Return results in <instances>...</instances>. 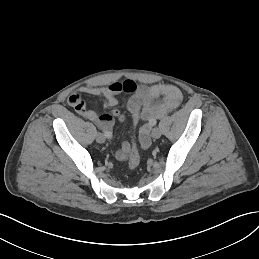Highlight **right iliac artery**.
<instances>
[{"instance_id": "obj_1", "label": "right iliac artery", "mask_w": 259, "mask_h": 259, "mask_svg": "<svg viewBox=\"0 0 259 259\" xmlns=\"http://www.w3.org/2000/svg\"><path fill=\"white\" fill-rule=\"evenodd\" d=\"M104 136H105L106 138H108V139H111V138H112V133L105 130V131H104Z\"/></svg>"}]
</instances>
